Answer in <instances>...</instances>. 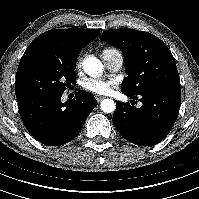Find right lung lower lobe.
<instances>
[{"label": "right lung lower lobe", "instance_id": "98d812e1", "mask_svg": "<svg viewBox=\"0 0 199 199\" xmlns=\"http://www.w3.org/2000/svg\"><path fill=\"white\" fill-rule=\"evenodd\" d=\"M62 94H31L17 97L22 121L28 132L48 146L74 139L97 105L95 97L79 90L72 100L61 102Z\"/></svg>", "mask_w": 199, "mask_h": 199}]
</instances>
